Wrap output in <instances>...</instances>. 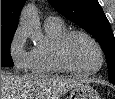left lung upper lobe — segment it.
Returning a JSON list of instances; mask_svg holds the SVG:
<instances>
[{
    "mask_svg": "<svg viewBox=\"0 0 115 99\" xmlns=\"http://www.w3.org/2000/svg\"><path fill=\"white\" fill-rule=\"evenodd\" d=\"M63 16L90 33L106 56L109 81L115 84V38L98 0H48Z\"/></svg>",
    "mask_w": 115,
    "mask_h": 99,
    "instance_id": "left-lung-upper-lobe-1",
    "label": "left lung upper lobe"
}]
</instances>
